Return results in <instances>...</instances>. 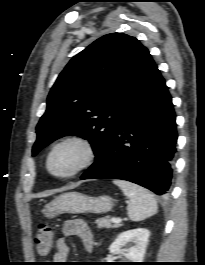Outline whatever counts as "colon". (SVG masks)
Masks as SVG:
<instances>
[{"label": "colon", "instance_id": "obj_1", "mask_svg": "<svg viewBox=\"0 0 205 265\" xmlns=\"http://www.w3.org/2000/svg\"><path fill=\"white\" fill-rule=\"evenodd\" d=\"M35 243L37 251L40 255H48L56 245L52 229L46 225L41 226L36 235Z\"/></svg>", "mask_w": 205, "mask_h": 265}]
</instances>
